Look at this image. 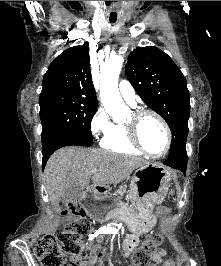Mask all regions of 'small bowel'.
<instances>
[{"label":"small bowel","instance_id":"1","mask_svg":"<svg viewBox=\"0 0 221 266\" xmlns=\"http://www.w3.org/2000/svg\"><path fill=\"white\" fill-rule=\"evenodd\" d=\"M163 210L165 212H168L170 209L168 207H164ZM104 230V229H100ZM97 232V231H96ZM95 231L89 234V239L93 236H95ZM139 234L137 233H131L126 236L122 243V254L125 257H129L133 250L138 246L139 243ZM91 240V239H90ZM100 242V238L97 239V243ZM97 245H94L91 247L92 254L87 258H80V257H72L71 260L76 262L78 266H101V261L99 258L95 257L93 255L94 251L96 250ZM166 251L164 249L158 250L153 255V264L151 266H174V263L172 260H166ZM115 262L112 263L111 266H115Z\"/></svg>","mask_w":221,"mask_h":266}]
</instances>
